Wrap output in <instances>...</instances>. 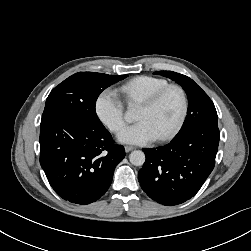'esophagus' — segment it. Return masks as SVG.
<instances>
[{
    "instance_id": "esophagus-1",
    "label": "esophagus",
    "mask_w": 251,
    "mask_h": 251,
    "mask_svg": "<svg viewBox=\"0 0 251 251\" xmlns=\"http://www.w3.org/2000/svg\"><path fill=\"white\" fill-rule=\"evenodd\" d=\"M132 150H134V147H132V146H125V152H130V151H132Z\"/></svg>"
}]
</instances>
